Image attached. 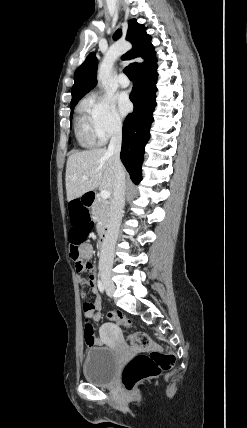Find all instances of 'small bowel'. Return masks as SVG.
<instances>
[{"mask_svg":"<svg viewBox=\"0 0 247 428\" xmlns=\"http://www.w3.org/2000/svg\"><path fill=\"white\" fill-rule=\"evenodd\" d=\"M93 256V248L90 244L86 243L83 245V247H80V257L88 262V278L87 279H81L80 285L84 286L87 285L91 292L95 295V300L92 303L84 302L83 303V310L85 317L92 319L93 321H99L101 319V308L102 304L98 297V289L96 284V275L94 272V265L91 262V258ZM75 263V261H74ZM75 267L77 269V266L75 264ZM81 297H85V292L81 289L80 290ZM110 319V318H109ZM104 340H95L94 344H102Z\"/></svg>","mask_w":247,"mask_h":428,"instance_id":"c3829d8e","label":"small bowel"}]
</instances>
